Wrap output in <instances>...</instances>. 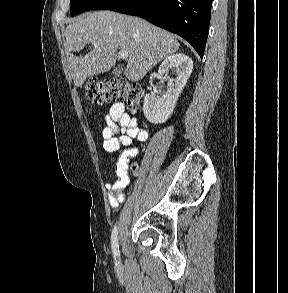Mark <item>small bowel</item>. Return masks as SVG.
I'll return each instance as SVG.
<instances>
[{
  "label": "small bowel",
  "mask_w": 288,
  "mask_h": 293,
  "mask_svg": "<svg viewBox=\"0 0 288 293\" xmlns=\"http://www.w3.org/2000/svg\"><path fill=\"white\" fill-rule=\"evenodd\" d=\"M105 121L106 126L102 131L103 149L108 153H114L121 146L125 147L120 156L111 157L117 180L106 183L110 206L117 209L119 204L125 201L123 189L129 183L128 162L138 153L135 141H145L148 138V131L138 125L137 117L128 114L125 105L121 102L110 107Z\"/></svg>",
  "instance_id": "small-bowel-1"
}]
</instances>
